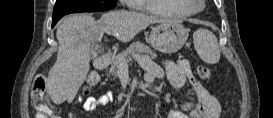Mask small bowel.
I'll use <instances>...</instances> for the list:
<instances>
[{"label": "small bowel", "mask_w": 273, "mask_h": 118, "mask_svg": "<svg viewBox=\"0 0 273 118\" xmlns=\"http://www.w3.org/2000/svg\"><path fill=\"white\" fill-rule=\"evenodd\" d=\"M167 77L175 89L188 86L196 97V100H188L182 109L172 108L166 118H218L220 115V103L202 84L194 77L187 60L180 59L175 62H167L163 67L152 65L145 75V80L152 83L156 78ZM112 101V95L101 94L90 96L83 102L85 111L91 112L100 106ZM75 112L69 113V118H76Z\"/></svg>", "instance_id": "c3829d8e"}]
</instances>
